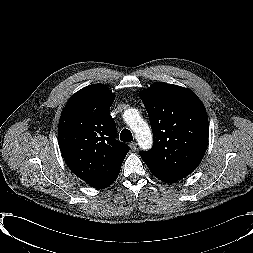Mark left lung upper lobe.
Returning a JSON list of instances; mask_svg holds the SVG:
<instances>
[{
	"label": "left lung upper lobe",
	"instance_id": "obj_1",
	"mask_svg": "<svg viewBox=\"0 0 253 253\" xmlns=\"http://www.w3.org/2000/svg\"><path fill=\"white\" fill-rule=\"evenodd\" d=\"M154 135L150 151L140 156L152 174L187 176L200 164L207 148L206 109L189 89L156 82L140 92Z\"/></svg>",
	"mask_w": 253,
	"mask_h": 253
}]
</instances>
